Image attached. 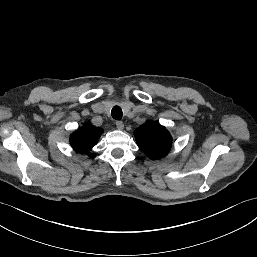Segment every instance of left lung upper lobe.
<instances>
[{
    "label": "left lung upper lobe",
    "instance_id": "1",
    "mask_svg": "<svg viewBox=\"0 0 257 257\" xmlns=\"http://www.w3.org/2000/svg\"><path fill=\"white\" fill-rule=\"evenodd\" d=\"M139 148L150 158L159 159L168 154L172 137L165 127L148 121L134 131Z\"/></svg>",
    "mask_w": 257,
    "mask_h": 257
}]
</instances>
